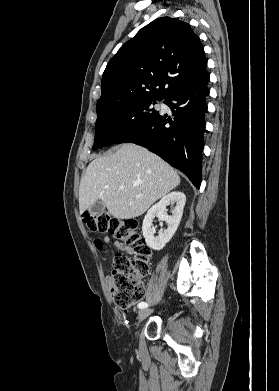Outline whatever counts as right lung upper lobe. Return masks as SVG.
Instances as JSON below:
<instances>
[{"mask_svg": "<svg viewBox=\"0 0 279 391\" xmlns=\"http://www.w3.org/2000/svg\"><path fill=\"white\" fill-rule=\"evenodd\" d=\"M206 67L200 39L188 23L156 19L108 62L97 114L137 100L167 98L201 76Z\"/></svg>", "mask_w": 279, "mask_h": 391, "instance_id": "cb5924a9", "label": "right lung upper lobe"}]
</instances>
